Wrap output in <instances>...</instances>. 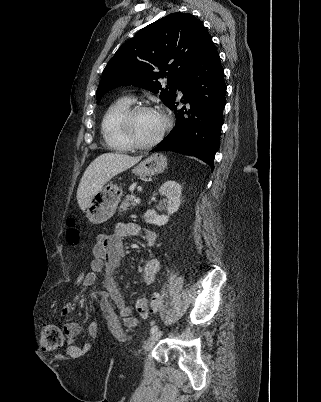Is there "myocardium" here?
I'll list each match as a JSON object with an SVG mask.
<instances>
[{
    "mask_svg": "<svg viewBox=\"0 0 321 402\" xmlns=\"http://www.w3.org/2000/svg\"><path fill=\"white\" fill-rule=\"evenodd\" d=\"M144 111L158 112L159 114L162 115V117L164 119V125H163L162 129L160 130L159 134L153 140H151L147 143L139 142L135 138V136L133 134V130H132V122H133L134 117L138 113L144 112ZM171 125H172V119L167 112L163 111L162 109L156 108L154 106L145 105V104L131 106L129 109H127L125 111V113L122 115V117L120 119V130H121V133H122L125 141L132 148L139 149V150H147V149H150V148L154 147L155 145H157L164 138L165 134L168 132Z\"/></svg>",
    "mask_w": 321,
    "mask_h": 402,
    "instance_id": "f54148a6",
    "label": "myocardium"
}]
</instances>
